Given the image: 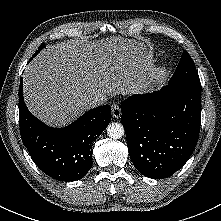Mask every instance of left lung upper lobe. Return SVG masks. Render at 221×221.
I'll return each mask as SVG.
<instances>
[{
    "label": "left lung upper lobe",
    "instance_id": "1",
    "mask_svg": "<svg viewBox=\"0 0 221 221\" xmlns=\"http://www.w3.org/2000/svg\"><path fill=\"white\" fill-rule=\"evenodd\" d=\"M169 82L173 84L200 83L195 64L186 50L183 51L181 60Z\"/></svg>",
    "mask_w": 221,
    "mask_h": 221
}]
</instances>
